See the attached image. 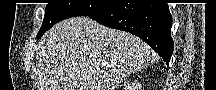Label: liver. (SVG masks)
Returning <instances> with one entry per match:
<instances>
[{"instance_id": "1", "label": "liver", "mask_w": 216, "mask_h": 90, "mask_svg": "<svg viewBox=\"0 0 216 90\" xmlns=\"http://www.w3.org/2000/svg\"><path fill=\"white\" fill-rule=\"evenodd\" d=\"M38 48V90H115L153 62L152 50L140 38L85 16L55 24Z\"/></svg>"}]
</instances>
